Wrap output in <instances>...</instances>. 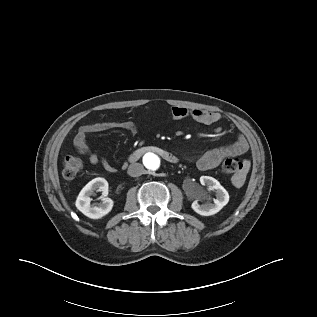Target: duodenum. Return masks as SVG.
I'll return each instance as SVG.
<instances>
[{
    "label": "duodenum",
    "mask_w": 317,
    "mask_h": 317,
    "mask_svg": "<svg viewBox=\"0 0 317 317\" xmlns=\"http://www.w3.org/2000/svg\"><path fill=\"white\" fill-rule=\"evenodd\" d=\"M148 152L155 153L170 163H177L178 162L177 156L175 154H173L172 152L167 151L161 147L152 146V145L151 146H144V147H141V148L133 151L129 156V161L136 162L137 160L140 159V157L142 155H144L145 153H148Z\"/></svg>",
    "instance_id": "1"
}]
</instances>
